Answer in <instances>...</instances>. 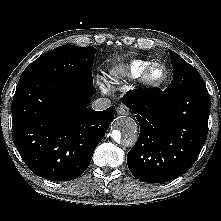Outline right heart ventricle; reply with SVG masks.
<instances>
[{"instance_id":"e07e8e85","label":"right heart ventricle","mask_w":221,"mask_h":221,"mask_svg":"<svg viewBox=\"0 0 221 221\" xmlns=\"http://www.w3.org/2000/svg\"><path fill=\"white\" fill-rule=\"evenodd\" d=\"M150 64H152V62L149 60H132L127 64L116 67L112 72L128 79H136L141 76Z\"/></svg>"}]
</instances>
